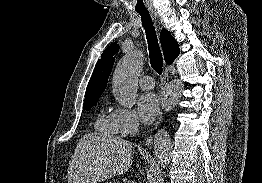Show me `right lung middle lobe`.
Returning <instances> with one entry per match:
<instances>
[{"label":"right lung middle lobe","mask_w":262,"mask_h":183,"mask_svg":"<svg viewBox=\"0 0 262 183\" xmlns=\"http://www.w3.org/2000/svg\"><path fill=\"white\" fill-rule=\"evenodd\" d=\"M98 99H92V100H85L83 108L85 110H90L92 106H94L97 103Z\"/></svg>","instance_id":"obj_1"}]
</instances>
